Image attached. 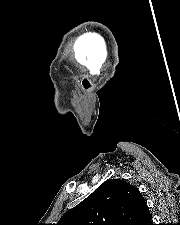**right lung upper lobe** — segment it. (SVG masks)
Instances as JSON below:
<instances>
[{"mask_svg": "<svg viewBox=\"0 0 180 225\" xmlns=\"http://www.w3.org/2000/svg\"><path fill=\"white\" fill-rule=\"evenodd\" d=\"M57 225H152L146 202L139 190L126 181L104 182Z\"/></svg>", "mask_w": 180, "mask_h": 225, "instance_id": "cb5924a9", "label": "right lung upper lobe"}]
</instances>
